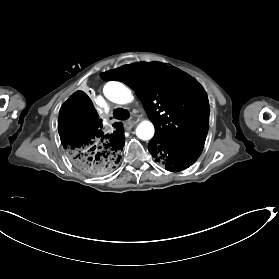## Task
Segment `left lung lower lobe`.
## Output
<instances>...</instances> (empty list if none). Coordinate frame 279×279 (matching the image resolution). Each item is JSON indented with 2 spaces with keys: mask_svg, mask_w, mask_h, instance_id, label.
<instances>
[{
  "mask_svg": "<svg viewBox=\"0 0 279 279\" xmlns=\"http://www.w3.org/2000/svg\"><path fill=\"white\" fill-rule=\"evenodd\" d=\"M201 145H183L151 140L148 150L156 162L165 165L166 170L178 172L191 166L202 152Z\"/></svg>",
  "mask_w": 279,
  "mask_h": 279,
  "instance_id": "0a47b994",
  "label": "left lung lower lobe"
}]
</instances>
